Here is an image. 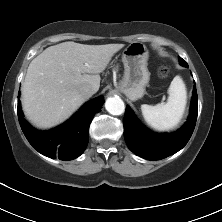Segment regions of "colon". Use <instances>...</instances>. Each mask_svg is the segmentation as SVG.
Instances as JSON below:
<instances>
[{"instance_id": "obj_1", "label": "colon", "mask_w": 222, "mask_h": 222, "mask_svg": "<svg viewBox=\"0 0 222 222\" xmlns=\"http://www.w3.org/2000/svg\"><path fill=\"white\" fill-rule=\"evenodd\" d=\"M169 68L167 66H162L160 69H159V75L163 78H166L168 77L169 75Z\"/></svg>"}]
</instances>
